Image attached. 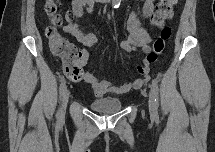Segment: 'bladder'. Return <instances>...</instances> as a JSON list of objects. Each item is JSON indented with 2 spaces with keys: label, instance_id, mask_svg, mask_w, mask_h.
I'll return each instance as SVG.
<instances>
[{
  "label": "bladder",
  "instance_id": "obj_1",
  "mask_svg": "<svg viewBox=\"0 0 215 152\" xmlns=\"http://www.w3.org/2000/svg\"><path fill=\"white\" fill-rule=\"evenodd\" d=\"M92 109L101 114H111L122 110L123 102L114 98H99L93 101Z\"/></svg>",
  "mask_w": 215,
  "mask_h": 152
}]
</instances>
